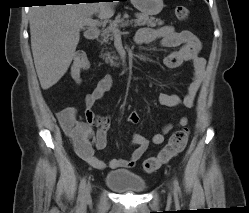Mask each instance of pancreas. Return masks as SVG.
Returning a JSON list of instances; mask_svg holds the SVG:
<instances>
[{"label":"pancreas","mask_w":249,"mask_h":213,"mask_svg":"<svg viewBox=\"0 0 249 213\" xmlns=\"http://www.w3.org/2000/svg\"><path fill=\"white\" fill-rule=\"evenodd\" d=\"M136 19L134 20V26H150V27H155L157 25L161 26L164 24V21H162L161 19H156L154 17H149L146 14H142V13H136L135 14ZM124 21V18H121L120 15H118L114 21H112L110 23V25L103 29L101 31V39H102V43H109L110 41L113 40L114 37V30L115 28H118V26L120 24H122ZM105 61L107 63L110 64H114V60L117 59L116 56H111L110 53L105 54V56H103Z\"/></svg>","instance_id":"1"}]
</instances>
